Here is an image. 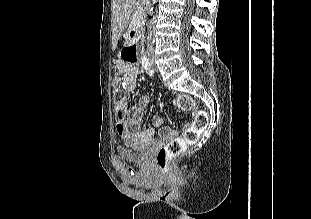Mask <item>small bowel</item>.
<instances>
[{"instance_id":"obj_1","label":"small bowel","mask_w":311,"mask_h":219,"mask_svg":"<svg viewBox=\"0 0 311 219\" xmlns=\"http://www.w3.org/2000/svg\"><path fill=\"white\" fill-rule=\"evenodd\" d=\"M115 66L125 77L127 91H133L136 87L139 69L136 65L129 64L120 59L115 61ZM150 101L151 99L149 96H141L138 99L137 104L130 108L127 120L117 122V132L126 144L132 145L151 140L155 135L156 130L163 125V118L160 115H154L151 126L146 130H140L144 108L149 105ZM163 134L167 136L169 132L165 131Z\"/></svg>"}]
</instances>
